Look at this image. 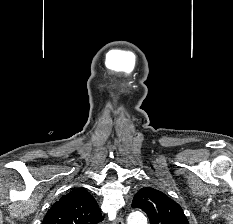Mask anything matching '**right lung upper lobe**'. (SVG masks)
I'll use <instances>...</instances> for the list:
<instances>
[{
    "mask_svg": "<svg viewBox=\"0 0 233 224\" xmlns=\"http://www.w3.org/2000/svg\"><path fill=\"white\" fill-rule=\"evenodd\" d=\"M102 220L93 196L85 189H75L55 202L42 224H98Z\"/></svg>",
    "mask_w": 233,
    "mask_h": 224,
    "instance_id": "obj_1",
    "label": "right lung upper lobe"
}]
</instances>
